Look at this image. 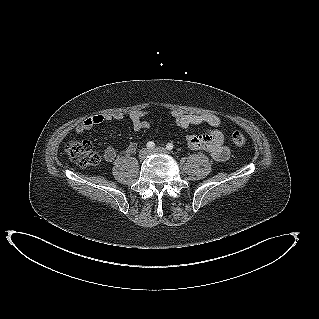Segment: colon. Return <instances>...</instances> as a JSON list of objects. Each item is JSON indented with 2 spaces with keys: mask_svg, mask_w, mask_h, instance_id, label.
Here are the masks:
<instances>
[{
  "mask_svg": "<svg viewBox=\"0 0 319 319\" xmlns=\"http://www.w3.org/2000/svg\"><path fill=\"white\" fill-rule=\"evenodd\" d=\"M230 137L232 142L239 147L246 144V137L238 130H231ZM65 152L72 162L82 167L96 165L99 161L90 142L86 140L68 141L65 145Z\"/></svg>",
  "mask_w": 319,
  "mask_h": 319,
  "instance_id": "1",
  "label": "colon"
}]
</instances>
